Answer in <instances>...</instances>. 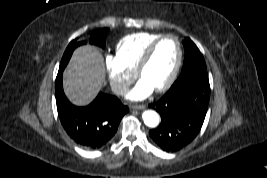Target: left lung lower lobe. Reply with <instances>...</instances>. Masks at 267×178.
<instances>
[{"label": "left lung lower lobe", "instance_id": "left-lung-lower-lobe-1", "mask_svg": "<svg viewBox=\"0 0 267 178\" xmlns=\"http://www.w3.org/2000/svg\"><path fill=\"white\" fill-rule=\"evenodd\" d=\"M209 99L208 79L176 81L160 100L150 104L161 116L158 127L149 131L153 142L166 152L178 151L191 143L201 130Z\"/></svg>", "mask_w": 267, "mask_h": 178}]
</instances>
